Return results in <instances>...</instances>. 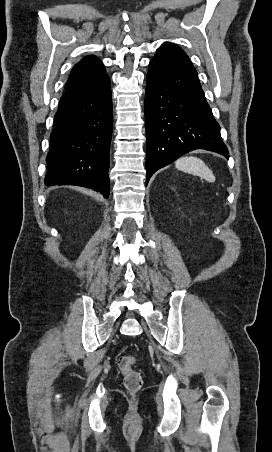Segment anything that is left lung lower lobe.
I'll use <instances>...</instances> for the list:
<instances>
[{"label": "left lung lower lobe", "mask_w": 272, "mask_h": 452, "mask_svg": "<svg viewBox=\"0 0 272 452\" xmlns=\"http://www.w3.org/2000/svg\"><path fill=\"white\" fill-rule=\"evenodd\" d=\"M145 93L146 184L183 154L205 149L229 158L189 57L166 42L149 64Z\"/></svg>", "instance_id": "1"}]
</instances>
